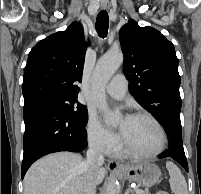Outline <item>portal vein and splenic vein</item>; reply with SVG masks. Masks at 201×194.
Wrapping results in <instances>:
<instances>
[{
  "mask_svg": "<svg viewBox=\"0 0 201 194\" xmlns=\"http://www.w3.org/2000/svg\"><path fill=\"white\" fill-rule=\"evenodd\" d=\"M135 192L136 194H143V191L141 189H136Z\"/></svg>",
  "mask_w": 201,
  "mask_h": 194,
  "instance_id": "18ae733b",
  "label": "portal vein and splenic vein"
}]
</instances>
